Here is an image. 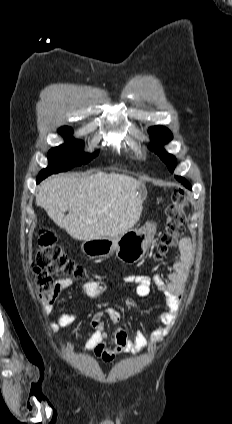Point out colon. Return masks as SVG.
<instances>
[{
  "label": "colon",
  "instance_id": "1",
  "mask_svg": "<svg viewBox=\"0 0 232 424\" xmlns=\"http://www.w3.org/2000/svg\"><path fill=\"white\" fill-rule=\"evenodd\" d=\"M188 194L181 188L173 191L171 203L165 211L164 228L160 234L158 257L165 255L185 232ZM33 271L36 287L42 300L49 304L54 296L53 276L60 278H83L90 275L80 263L70 258L50 232H41L38 239Z\"/></svg>",
  "mask_w": 232,
  "mask_h": 424
}]
</instances>
